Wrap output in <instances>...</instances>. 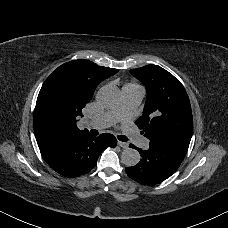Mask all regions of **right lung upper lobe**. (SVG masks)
Listing matches in <instances>:
<instances>
[{
    "label": "right lung upper lobe",
    "instance_id": "cb5924a9",
    "mask_svg": "<svg viewBox=\"0 0 228 228\" xmlns=\"http://www.w3.org/2000/svg\"><path fill=\"white\" fill-rule=\"evenodd\" d=\"M117 72L88 60L67 62L53 71L41 87L34 110L39 148L83 133L76 125L78 116H82L98 84Z\"/></svg>",
    "mask_w": 228,
    "mask_h": 228
}]
</instances>
